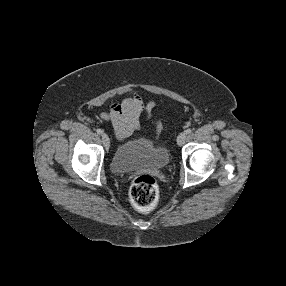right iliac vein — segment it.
<instances>
[{"label": "right iliac vein", "mask_w": 286, "mask_h": 286, "mask_svg": "<svg viewBox=\"0 0 286 286\" xmlns=\"http://www.w3.org/2000/svg\"><path fill=\"white\" fill-rule=\"evenodd\" d=\"M101 137H102V141H103L105 148L108 149L110 146V139H109L108 135L106 133H102Z\"/></svg>", "instance_id": "63e3f726"}]
</instances>
